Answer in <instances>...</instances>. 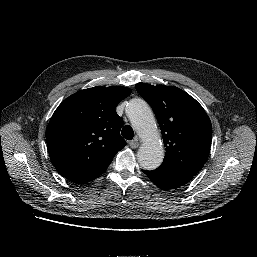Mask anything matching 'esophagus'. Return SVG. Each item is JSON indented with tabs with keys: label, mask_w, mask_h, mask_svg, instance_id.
Listing matches in <instances>:
<instances>
[{
	"label": "esophagus",
	"mask_w": 257,
	"mask_h": 257,
	"mask_svg": "<svg viewBox=\"0 0 257 257\" xmlns=\"http://www.w3.org/2000/svg\"><path fill=\"white\" fill-rule=\"evenodd\" d=\"M129 145H130V147L133 148V149L137 148V147L139 146L138 139L135 138L134 140L130 141V142H129Z\"/></svg>",
	"instance_id": "esophagus-1"
}]
</instances>
